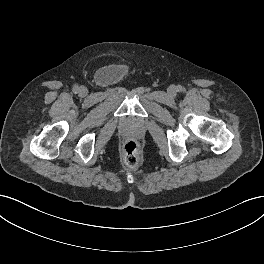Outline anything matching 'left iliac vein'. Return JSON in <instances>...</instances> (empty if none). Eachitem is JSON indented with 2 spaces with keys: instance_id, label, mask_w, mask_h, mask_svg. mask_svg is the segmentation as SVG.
Listing matches in <instances>:
<instances>
[{
  "instance_id": "1",
  "label": "left iliac vein",
  "mask_w": 264,
  "mask_h": 264,
  "mask_svg": "<svg viewBox=\"0 0 264 264\" xmlns=\"http://www.w3.org/2000/svg\"><path fill=\"white\" fill-rule=\"evenodd\" d=\"M168 93H169V95H175L176 94V87L175 86H170L169 88H168Z\"/></svg>"
}]
</instances>
